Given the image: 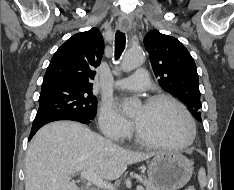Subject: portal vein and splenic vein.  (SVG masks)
<instances>
[{"mask_svg":"<svg viewBox=\"0 0 234 190\" xmlns=\"http://www.w3.org/2000/svg\"><path fill=\"white\" fill-rule=\"evenodd\" d=\"M81 177L84 179H87L89 182L93 183L97 187L104 188L107 190H114V185L111 183H108L107 181H104L103 179L99 178L97 175H95L94 171L92 169H89L87 171H83L80 173ZM137 190H144L142 186H137Z\"/></svg>","mask_w":234,"mask_h":190,"instance_id":"portal-vein-and-splenic-vein-1","label":"portal vein and splenic vein"}]
</instances>
